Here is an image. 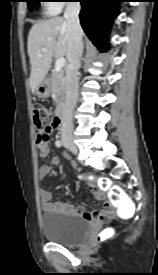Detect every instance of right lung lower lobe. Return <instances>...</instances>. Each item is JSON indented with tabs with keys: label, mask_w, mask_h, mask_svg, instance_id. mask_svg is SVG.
<instances>
[{
	"label": "right lung lower lobe",
	"mask_w": 158,
	"mask_h": 275,
	"mask_svg": "<svg viewBox=\"0 0 158 275\" xmlns=\"http://www.w3.org/2000/svg\"><path fill=\"white\" fill-rule=\"evenodd\" d=\"M81 2V25L89 39L101 50L108 48L102 46L113 19L118 15L120 0H78Z\"/></svg>",
	"instance_id": "98d812e1"
}]
</instances>
